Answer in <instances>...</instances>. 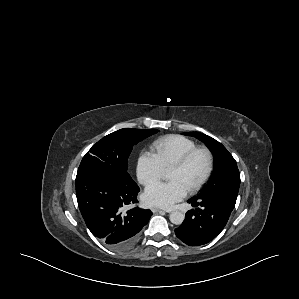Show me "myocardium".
Instances as JSON below:
<instances>
[{
	"instance_id": "myocardium-1",
	"label": "myocardium",
	"mask_w": 299,
	"mask_h": 299,
	"mask_svg": "<svg viewBox=\"0 0 299 299\" xmlns=\"http://www.w3.org/2000/svg\"><path fill=\"white\" fill-rule=\"evenodd\" d=\"M199 152L205 153L207 157V169L202 176V178L191 188H189L187 191L188 193H195L199 191L205 183L209 180V178L212 175L213 169H214V156L212 151L204 146H197L187 153H185L176 163H174L169 171L171 170H180L187 166V164L190 162V160Z\"/></svg>"
}]
</instances>
